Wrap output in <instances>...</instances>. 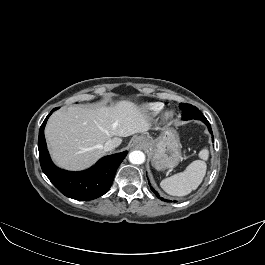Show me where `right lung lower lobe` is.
<instances>
[{"label":"right lung lower lobe","instance_id":"right-lung-lower-lobe-1","mask_svg":"<svg viewBox=\"0 0 265 265\" xmlns=\"http://www.w3.org/2000/svg\"><path fill=\"white\" fill-rule=\"evenodd\" d=\"M56 109L58 108L53 109L51 113ZM51 113L41 125L38 138L40 164L45 175L62 194L69 198L92 200L107 193L127 151L105 156L86 171L71 172L60 169L51 161L44 137L46 121Z\"/></svg>","mask_w":265,"mask_h":265}]
</instances>
